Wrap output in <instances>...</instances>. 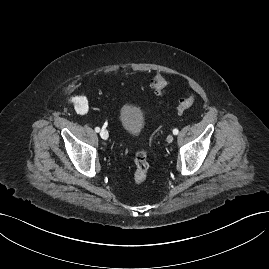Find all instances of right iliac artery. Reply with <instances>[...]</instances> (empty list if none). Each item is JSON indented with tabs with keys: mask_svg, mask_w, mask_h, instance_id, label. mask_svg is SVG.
<instances>
[{
	"mask_svg": "<svg viewBox=\"0 0 269 269\" xmlns=\"http://www.w3.org/2000/svg\"><path fill=\"white\" fill-rule=\"evenodd\" d=\"M95 131H96V132H99V131H100V128H99V127H96V128H95Z\"/></svg>",
	"mask_w": 269,
	"mask_h": 269,
	"instance_id": "right-iliac-artery-1",
	"label": "right iliac artery"
}]
</instances>
